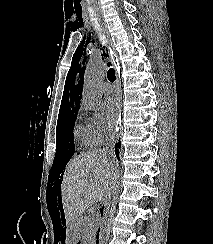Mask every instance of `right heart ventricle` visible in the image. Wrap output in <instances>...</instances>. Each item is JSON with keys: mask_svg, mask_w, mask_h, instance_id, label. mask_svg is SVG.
Returning <instances> with one entry per match:
<instances>
[{"mask_svg": "<svg viewBox=\"0 0 213 244\" xmlns=\"http://www.w3.org/2000/svg\"><path fill=\"white\" fill-rule=\"evenodd\" d=\"M75 137L78 141H80L84 145H90L87 137L86 130L83 126H76L75 127Z\"/></svg>", "mask_w": 213, "mask_h": 244, "instance_id": "1", "label": "right heart ventricle"}]
</instances>
